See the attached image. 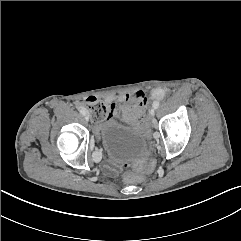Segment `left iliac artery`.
Segmentation results:
<instances>
[{"label":"left iliac artery","mask_w":241,"mask_h":241,"mask_svg":"<svg viewBox=\"0 0 241 241\" xmlns=\"http://www.w3.org/2000/svg\"><path fill=\"white\" fill-rule=\"evenodd\" d=\"M153 107H154L155 109H157V108L159 107V102H158V101H154V102H153Z\"/></svg>","instance_id":"obj_1"}]
</instances>
